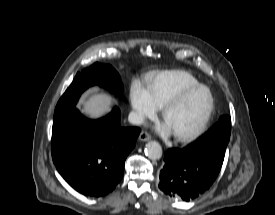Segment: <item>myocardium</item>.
<instances>
[{"label":"myocardium","mask_w":275,"mask_h":215,"mask_svg":"<svg viewBox=\"0 0 275 215\" xmlns=\"http://www.w3.org/2000/svg\"><path fill=\"white\" fill-rule=\"evenodd\" d=\"M198 89H204L208 92L209 98H210L209 108H208L204 118L202 119V121L193 130H191L187 133H184V134H174L175 138L178 141H181V142L191 141L204 131V129L208 125V123L212 117V114L214 112V109H215V99H214L213 93L210 90V88L204 84L198 83L195 85H191V86L185 87L182 90H180L176 95H174L171 99H169L162 108V117L164 120H166L168 113L174 107H176L188 94H190L193 91L198 90Z\"/></svg>","instance_id":"obj_1"}]
</instances>
